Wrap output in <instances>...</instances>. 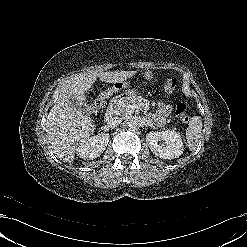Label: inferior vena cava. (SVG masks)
<instances>
[{"label": "inferior vena cava", "instance_id": "602c4592", "mask_svg": "<svg viewBox=\"0 0 247 247\" xmlns=\"http://www.w3.org/2000/svg\"><path fill=\"white\" fill-rule=\"evenodd\" d=\"M122 120L119 117H111L107 121V126L109 128H115L121 124Z\"/></svg>", "mask_w": 247, "mask_h": 247}]
</instances>
